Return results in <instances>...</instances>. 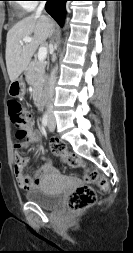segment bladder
Wrapping results in <instances>:
<instances>
[{
    "mask_svg": "<svg viewBox=\"0 0 133 253\" xmlns=\"http://www.w3.org/2000/svg\"><path fill=\"white\" fill-rule=\"evenodd\" d=\"M24 197L42 209L52 210L59 206L62 196L58 192L49 191L44 188H33L24 193Z\"/></svg>",
    "mask_w": 133,
    "mask_h": 253,
    "instance_id": "1",
    "label": "bladder"
}]
</instances>
